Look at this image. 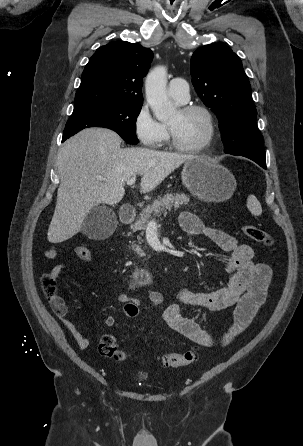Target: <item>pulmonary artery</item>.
I'll return each instance as SVG.
<instances>
[{"label": "pulmonary artery", "instance_id": "obj_1", "mask_svg": "<svg viewBox=\"0 0 303 446\" xmlns=\"http://www.w3.org/2000/svg\"><path fill=\"white\" fill-rule=\"evenodd\" d=\"M169 95L179 102H186L189 99V85L183 78H173L168 84Z\"/></svg>", "mask_w": 303, "mask_h": 446}]
</instances>
